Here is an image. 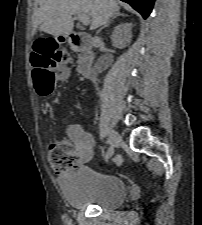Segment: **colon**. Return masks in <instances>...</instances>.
Wrapping results in <instances>:
<instances>
[{"instance_id": "obj_1", "label": "colon", "mask_w": 202, "mask_h": 225, "mask_svg": "<svg viewBox=\"0 0 202 225\" xmlns=\"http://www.w3.org/2000/svg\"><path fill=\"white\" fill-rule=\"evenodd\" d=\"M32 64L34 66L33 79L36 92L47 97L54 92V68H60L69 59V54L57 49L51 40H41L32 47ZM48 163L51 168L61 176H68L78 168L77 151L68 144L61 142L52 144L47 153ZM116 165L121 164V158L114 159Z\"/></svg>"}]
</instances>
